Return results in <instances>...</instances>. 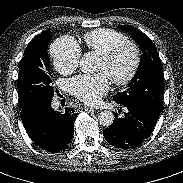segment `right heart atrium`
I'll return each instance as SVG.
<instances>
[{"label":"right heart atrium","mask_w":183,"mask_h":183,"mask_svg":"<svg viewBox=\"0 0 183 183\" xmlns=\"http://www.w3.org/2000/svg\"><path fill=\"white\" fill-rule=\"evenodd\" d=\"M51 53L54 66L61 74H70L77 69L81 49L73 38L63 36L57 39L51 47Z\"/></svg>","instance_id":"d8ad5b80"}]
</instances>
